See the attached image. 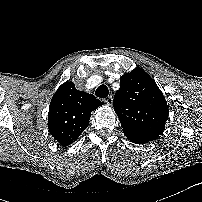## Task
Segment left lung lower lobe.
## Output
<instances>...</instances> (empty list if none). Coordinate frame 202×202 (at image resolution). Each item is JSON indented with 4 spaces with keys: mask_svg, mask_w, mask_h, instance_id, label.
Here are the masks:
<instances>
[{
    "mask_svg": "<svg viewBox=\"0 0 202 202\" xmlns=\"http://www.w3.org/2000/svg\"><path fill=\"white\" fill-rule=\"evenodd\" d=\"M130 141H132L133 143H136V144H145V143H148V141H144V140H138V139H134L132 137H127Z\"/></svg>",
    "mask_w": 202,
    "mask_h": 202,
    "instance_id": "0a47b994",
    "label": "left lung lower lobe"
}]
</instances>
